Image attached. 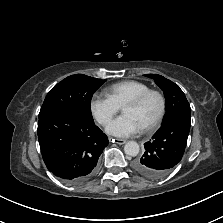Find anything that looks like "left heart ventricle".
<instances>
[{
    "label": "left heart ventricle",
    "mask_w": 223,
    "mask_h": 223,
    "mask_svg": "<svg viewBox=\"0 0 223 223\" xmlns=\"http://www.w3.org/2000/svg\"><path fill=\"white\" fill-rule=\"evenodd\" d=\"M161 108V101L157 95L149 96L139 106H126L123 114L134 118L140 128L150 124L158 115Z\"/></svg>",
    "instance_id": "obj_1"
}]
</instances>
